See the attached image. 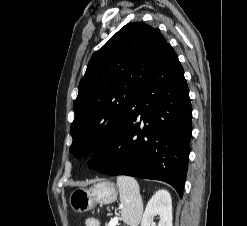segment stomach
I'll return each instance as SVG.
<instances>
[{"label": "stomach", "mask_w": 247, "mask_h": 226, "mask_svg": "<svg viewBox=\"0 0 247 226\" xmlns=\"http://www.w3.org/2000/svg\"><path fill=\"white\" fill-rule=\"evenodd\" d=\"M118 190L110 181H101L90 188H77L70 195V206L77 213L91 210L97 203L109 204L117 199Z\"/></svg>", "instance_id": "obj_1"}]
</instances>
